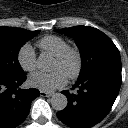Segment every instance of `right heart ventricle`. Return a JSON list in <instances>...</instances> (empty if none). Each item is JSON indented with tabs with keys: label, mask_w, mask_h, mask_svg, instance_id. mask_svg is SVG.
Listing matches in <instances>:
<instances>
[{
	"label": "right heart ventricle",
	"mask_w": 128,
	"mask_h": 128,
	"mask_svg": "<svg viewBox=\"0 0 128 128\" xmlns=\"http://www.w3.org/2000/svg\"><path fill=\"white\" fill-rule=\"evenodd\" d=\"M38 46L44 52L57 57L69 47V43L60 36L48 35L39 40Z\"/></svg>",
	"instance_id": "obj_1"
}]
</instances>
